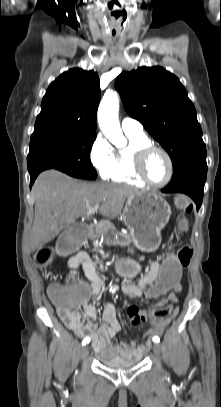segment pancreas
Segmentation results:
<instances>
[{"instance_id":"obj_1","label":"pancreas","mask_w":221,"mask_h":407,"mask_svg":"<svg viewBox=\"0 0 221 407\" xmlns=\"http://www.w3.org/2000/svg\"><path fill=\"white\" fill-rule=\"evenodd\" d=\"M117 236V238H115ZM132 242V238L130 235L122 233V232H114L113 236L106 240L107 244L114 245V246H129ZM99 247L96 246L95 250H98Z\"/></svg>"}]
</instances>
